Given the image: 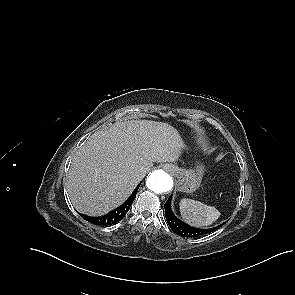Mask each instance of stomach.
<instances>
[{"instance_id":"obj_1","label":"stomach","mask_w":295,"mask_h":295,"mask_svg":"<svg viewBox=\"0 0 295 295\" xmlns=\"http://www.w3.org/2000/svg\"><path fill=\"white\" fill-rule=\"evenodd\" d=\"M173 168L179 191L191 193L199 188L204 173L203 164H197L196 169L189 170L177 166H173Z\"/></svg>"}]
</instances>
